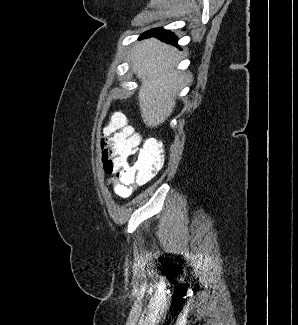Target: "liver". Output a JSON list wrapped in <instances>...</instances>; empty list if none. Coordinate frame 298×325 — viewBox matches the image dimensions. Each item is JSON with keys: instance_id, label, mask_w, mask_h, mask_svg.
Returning a JSON list of instances; mask_svg holds the SVG:
<instances>
[{"instance_id": "6515ba94", "label": "liver", "mask_w": 298, "mask_h": 325, "mask_svg": "<svg viewBox=\"0 0 298 325\" xmlns=\"http://www.w3.org/2000/svg\"><path fill=\"white\" fill-rule=\"evenodd\" d=\"M180 52L158 38L140 40L133 48L132 68L141 80L138 104L142 120L149 128H157L171 116L175 108L177 88L182 80L175 66Z\"/></svg>"}]
</instances>
